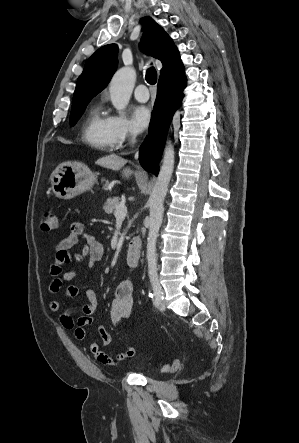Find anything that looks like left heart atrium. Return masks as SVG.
I'll list each match as a JSON object with an SVG mask.
<instances>
[{
	"instance_id": "obj_1",
	"label": "left heart atrium",
	"mask_w": 299,
	"mask_h": 443,
	"mask_svg": "<svg viewBox=\"0 0 299 443\" xmlns=\"http://www.w3.org/2000/svg\"><path fill=\"white\" fill-rule=\"evenodd\" d=\"M132 124L137 132L145 130L151 120L150 110L146 106H137L132 112Z\"/></svg>"
}]
</instances>
